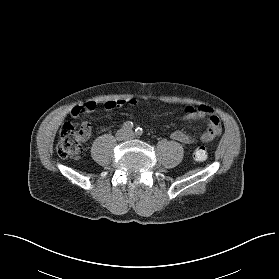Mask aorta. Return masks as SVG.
Segmentation results:
<instances>
[{
    "instance_id": "762f6f07",
    "label": "aorta",
    "mask_w": 279,
    "mask_h": 279,
    "mask_svg": "<svg viewBox=\"0 0 279 279\" xmlns=\"http://www.w3.org/2000/svg\"><path fill=\"white\" fill-rule=\"evenodd\" d=\"M136 134H137V135H141V134H142V129H141V128H138V129L136 130Z\"/></svg>"
}]
</instances>
